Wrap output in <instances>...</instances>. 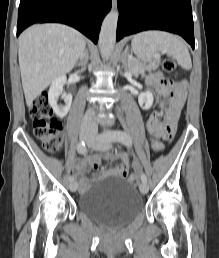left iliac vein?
<instances>
[{"mask_svg":"<svg viewBox=\"0 0 219 258\" xmlns=\"http://www.w3.org/2000/svg\"><path fill=\"white\" fill-rule=\"evenodd\" d=\"M110 131L108 132H105V134L109 133ZM103 135V134H101ZM101 135H94L92 136L88 141H87V145L92 148V149H95V150H106L109 148L110 146V142L108 141H103L100 139ZM139 190L142 194H146L148 192V185L147 183L145 182H142L140 185H139Z\"/></svg>","mask_w":219,"mask_h":258,"instance_id":"1","label":"left iliac vein"}]
</instances>
